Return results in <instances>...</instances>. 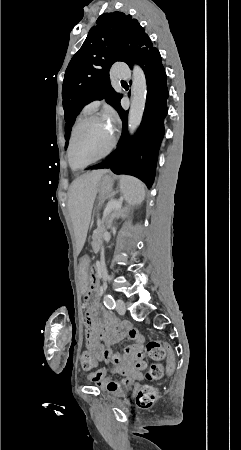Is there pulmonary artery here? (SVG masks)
Instances as JSON below:
<instances>
[{"mask_svg":"<svg viewBox=\"0 0 241 450\" xmlns=\"http://www.w3.org/2000/svg\"><path fill=\"white\" fill-rule=\"evenodd\" d=\"M110 78H117L121 80L123 84H128L132 78V73L130 71H125L124 64H113L109 71Z\"/></svg>","mask_w":241,"mask_h":450,"instance_id":"1","label":"pulmonary artery"}]
</instances>
